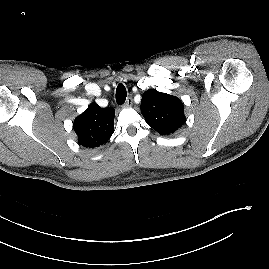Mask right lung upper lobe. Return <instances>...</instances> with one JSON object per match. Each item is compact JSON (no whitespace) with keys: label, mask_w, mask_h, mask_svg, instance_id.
I'll use <instances>...</instances> for the list:
<instances>
[{"label":"right lung upper lobe","mask_w":269,"mask_h":269,"mask_svg":"<svg viewBox=\"0 0 269 269\" xmlns=\"http://www.w3.org/2000/svg\"><path fill=\"white\" fill-rule=\"evenodd\" d=\"M114 116L113 108L90 104L73 123L78 143L89 148L105 144L114 132Z\"/></svg>","instance_id":"right-lung-upper-lobe-1"}]
</instances>
